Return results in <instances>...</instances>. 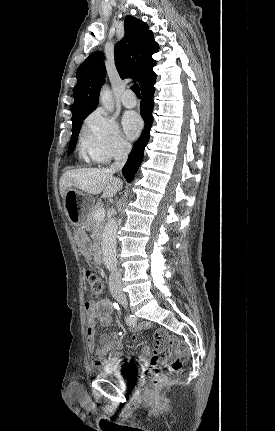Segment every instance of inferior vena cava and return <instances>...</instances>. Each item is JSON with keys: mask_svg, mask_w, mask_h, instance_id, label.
<instances>
[{"mask_svg": "<svg viewBox=\"0 0 275 431\" xmlns=\"http://www.w3.org/2000/svg\"><path fill=\"white\" fill-rule=\"evenodd\" d=\"M130 150H131V145L128 143H122L119 146L115 154V162L111 165V168H110L111 172L121 171L122 167L127 161ZM109 287L111 291H114V290L121 291L122 283H121V273L119 270L116 269L112 271L109 279Z\"/></svg>", "mask_w": 275, "mask_h": 431, "instance_id": "obj_1", "label": "inferior vena cava"}]
</instances>
